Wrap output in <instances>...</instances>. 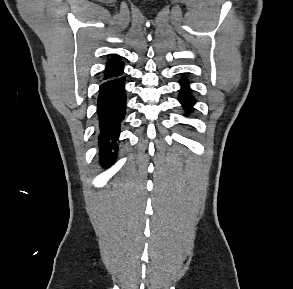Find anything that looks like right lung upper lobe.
I'll return each mask as SVG.
<instances>
[{"label": "right lung upper lobe", "instance_id": "obj_1", "mask_svg": "<svg viewBox=\"0 0 293 289\" xmlns=\"http://www.w3.org/2000/svg\"><path fill=\"white\" fill-rule=\"evenodd\" d=\"M122 73L123 62L119 59V56L113 55V57L107 63V68L105 69L103 80L118 78Z\"/></svg>", "mask_w": 293, "mask_h": 289}]
</instances>
